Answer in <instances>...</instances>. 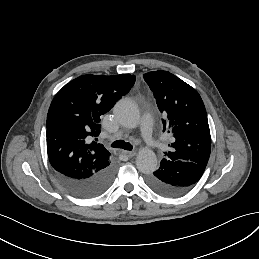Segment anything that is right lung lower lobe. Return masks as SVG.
<instances>
[{"label":"right lung lower lobe","mask_w":259,"mask_h":259,"mask_svg":"<svg viewBox=\"0 0 259 259\" xmlns=\"http://www.w3.org/2000/svg\"><path fill=\"white\" fill-rule=\"evenodd\" d=\"M114 174L115 167L112 164L86 179L71 178L55 171L61 185L79 198H93L103 194L110 187Z\"/></svg>","instance_id":"98d812e1"}]
</instances>
